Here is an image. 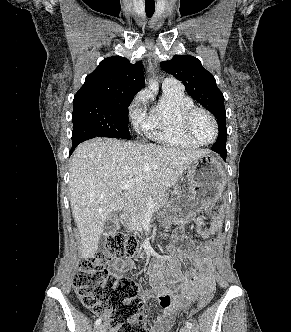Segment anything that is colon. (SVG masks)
Listing matches in <instances>:
<instances>
[{"mask_svg": "<svg viewBox=\"0 0 291 332\" xmlns=\"http://www.w3.org/2000/svg\"><path fill=\"white\" fill-rule=\"evenodd\" d=\"M215 223H220L218 215ZM210 229L205 232L211 235ZM138 240L135 236L116 232L104 239L103 248L93 259L79 262L73 285L83 305L104 317L109 332H150L143 320V300L138 285L131 279L111 272L107 263L135 255ZM213 290L203 292L198 300V309L211 301Z\"/></svg>", "mask_w": 291, "mask_h": 332, "instance_id": "obj_1", "label": "colon"}]
</instances>
